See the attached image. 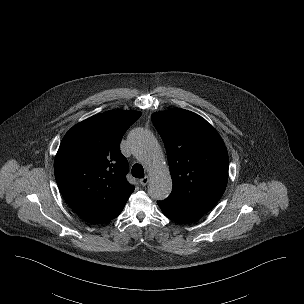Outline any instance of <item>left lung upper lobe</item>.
I'll return each mask as SVG.
<instances>
[{
  "instance_id": "1",
  "label": "left lung upper lobe",
  "mask_w": 304,
  "mask_h": 304,
  "mask_svg": "<svg viewBox=\"0 0 304 304\" xmlns=\"http://www.w3.org/2000/svg\"><path fill=\"white\" fill-rule=\"evenodd\" d=\"M166 146L173 189L167 199L200 213L219 201L228 181V153L201 116L180 108L152 114Z\"/></svg>"
}]
</instances>
